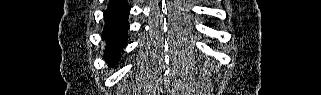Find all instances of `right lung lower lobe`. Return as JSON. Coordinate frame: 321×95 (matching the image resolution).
I'll return each instance as SVG.
<instances>
[{"instance_id": "obj_1", "label": "right lung lower lobe", "mask_w": 321, "mask_h": 95, "mask_svg": "<svg viewBox=\"0 0 321 95\" xmlns=\"http://www.w3.org/2000/svg\"><path fill=\"white\" fill-rule=\"evenodd\" d=\"M129 11L130 7L126 0H110L104 12L105 27L102 39L108 43L105 49V59L109 66L115 65L120 52L126 46Z\"/></svg>"}]
</instances>
